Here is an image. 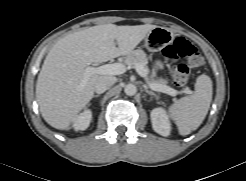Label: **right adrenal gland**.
I'll return each instance as SVG.
<instances>
[{"mask_svg":"<svg viewBox=\"0 0 246 181\" xmlns=\"http://www.w3.org/2000/svg\"><path fill=\"white\" fill-rule=\"evenodd\" d=\"M100 96V94H97V95H93V98H95V97H99Z\"/></svg>","mask_w":246,"mask_h":181,"instance_id":"2a0ac1e0","label":"right adrenal gland"}]
</instances>
